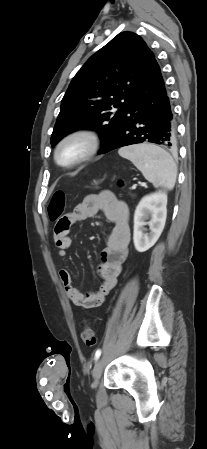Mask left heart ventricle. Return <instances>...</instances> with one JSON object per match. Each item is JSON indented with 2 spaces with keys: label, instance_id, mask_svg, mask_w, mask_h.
<instances>
[{
  "label": "left heart ventricle",
  "instance_id": "1",
  "mask_svg": "<svg viewBox=\"0 0 207 449\" xmlns=\"http://www.w3.org/2000/svg\"><path fill=\"white\" fill-rule=\"evenodd\" d=\"M85 149V144L82 141H73L65 145L60 153L59 159L62 162H69L77 158Z\"/></svg>",
  "mask_w": 207,
  "mask_h": 449
}]
</instances>
